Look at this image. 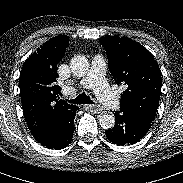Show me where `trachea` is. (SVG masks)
<instances>
[{"mask_svg":"<svg viewBox=\"0 0 183 183\" xmlns=\"http://www.w3.org/2000/svg\"><path fill=\"white\" fill-rule=\"evenodd\" d=\"M68 102L72 104H95L89 96H87L85 93L79 94L75 99H70Z\"/></svg>","mask_w":183,"mask_h":183,"instance_id":"obj_1","label":"trachea"}]
</instances>
